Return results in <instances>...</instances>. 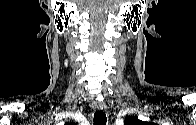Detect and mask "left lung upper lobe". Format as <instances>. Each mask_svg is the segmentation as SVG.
Instances as JSON below:
<instances>
[{
  "instance_id": "obj_1",
  "label": "left lung upper lobe",
  "mask_w": 196,
  "mask_h": 125,
  "mask_svg": "<svg viewBox=\"0 0 196 125\" xmlns=\"http://www.w3.org/2000/svg\"><path fill=\"white\" fill-rule=\"evenodd\" d=\"M125 125H141L144 124L143 121L139 120L137 117H128L125 120Z\"/></svg>"
}]
</instances>
